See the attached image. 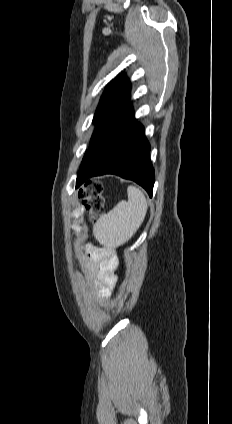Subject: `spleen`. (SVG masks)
<instances>
[{
    "instance_id": "obj_1",
    "label": "spleen",
    "mask_w": 232,
    "mask_h": 424,
    "mask_svg": "<svg viewBox=\"0 0 232 424\" xmlns=\"http://www.w3.org/2000/svg\"><path fill=\"white\" fill-rule=\"evenodd\" d=\"M127 201H120L108 213L102 214L94 226L96 240L106 249H114L126 243L141 226L147 201L143 192L134 186L127 188Z\"/></svg>"
}]
</instances>
